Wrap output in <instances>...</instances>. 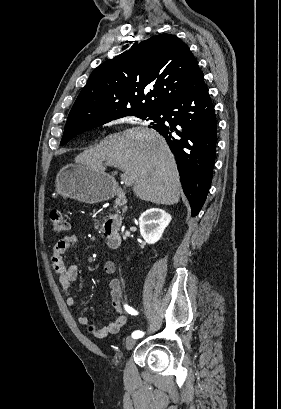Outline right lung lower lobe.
Returning <instances> with one entry per match:
<instances>
[{
    "label": "right lung lower lobe",
    "mask_w": 281,
    "mask_h": 409,
    "mask_svg": "<svg viewBox=\"0 0 281 409\" xmlns=\"http://www.w3.org/2000/svg\"><path fill=\"white\" fill-rule=\"evenodd\" d=\"M157 113L152 128L166 139L175 155L191 215L196 216L210 188L217 143V120L203 74Z\"/></svg>",
    "instance_id": "obj_1"
}]
</instances>
